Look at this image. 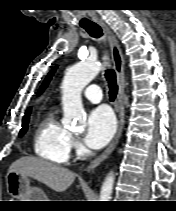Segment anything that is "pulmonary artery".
I'll list each match as a JSON object with an SVG mask.
<instances>
[{
	"label": "pulmonary artery",
	"mask_w": 176,
	"mask_h": 211,
	"mask_svg": "<svg viewBox=\"0 0 176 211\" xmlns=\"http://www.w3.org/2000/svg\"><path fill=\"white\" fill-rule=\"evenodd\" d=\"M84 97L92 103H99L102 100V94L98 85H89L84 91Z\"/></svg>",
	"instance_id": "e3ab8cb5"
}]
</instances>
